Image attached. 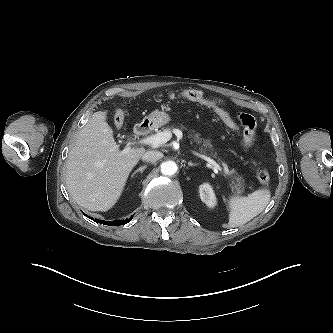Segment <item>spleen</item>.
I'll list each match as a JSON object with an SVG mask.
<instances>
[{
	"instance_id": "1",
	"label": "spleen",
	"mask_w": 333,
	"mask_h": 333,
	"mask_svg": "<svg viewBox=\"0 0 333 333\" xmlns=\"http://www.w3.org/2000/svg\"><path fill=\"white\" fill-rule=\"evenodd\" d=\"M270 197L268 190H257L247 197L232 196L229 200V227L242 226L259 215Z\"/></svg>"
}]
</instances>
